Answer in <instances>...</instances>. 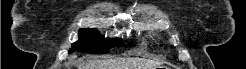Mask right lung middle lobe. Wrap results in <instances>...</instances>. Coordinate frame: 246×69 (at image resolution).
Returning a JSON list of instances; mask_svg holds the SVG:
<instances>
[{"mask_svg": "<svg viewBox=\"0 0 246 69\" xmlns=\"http://www.w3.org/2000/svg\"><path fill=\"white\" fill-rule=\"evenodd\" d=\"M121 45L122 41L120 39H105L93 30L82 28L79 31V40L72 44L69 52L77 51L90 54L108 53L111 48Z\"/></svg>", "mask_w": 246, "mask_h": 69, "instance_id": "dd1d6c3e", "label": "right lung middle lobe"}]
</instances>
